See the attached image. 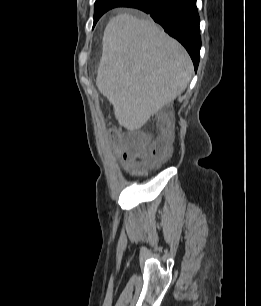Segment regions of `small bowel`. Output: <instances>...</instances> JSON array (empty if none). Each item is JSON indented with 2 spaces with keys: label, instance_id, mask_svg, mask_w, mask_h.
Here are the masks:
<instances>
[{
  "label": "small bowel",
  "instance_id": "small-bowel-1",
  "mask_svg": "<svg viewBox=\"0 0 261 306\" xmlns=\"http://www.w3.org/2000/svg\"><path fill=\"white\" fill-rule=\"evenodd\" d=\"M126 156H128V155H126V153H125V155H124V158H125V159H126ZM127 162H128V164H129L132 168H134V169L139 170V169L141 168V165L138 164V163L132 162V161H130V160H127Z\"/></svg>",
  "mask_w": 261,
  "mask_h": 306
}]
</instances>
